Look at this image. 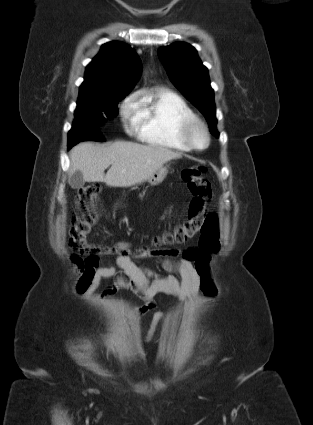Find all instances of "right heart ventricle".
<instances>
[{
    "label": "right heart ventricle",
    "mask_w": 313,
    "mask_h": 425,
    "mask_svg": "<svg viewBox=\"0 0 313 425\" xmlns=\"http://www.w3.org/2000/svg\"><path fill=\"white\" fill-rule=\"evenodd\" d=\"M135 128L141 141L175 151H191L182 140L185 121L197 118L188 104L168 90L143 93L137 99Z\"/></svg>",
    "instance_id": "1"
}]
</instances>
